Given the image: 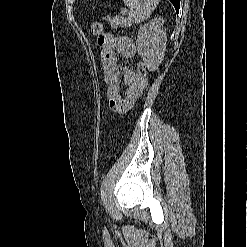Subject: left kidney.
Masks as SVG:
<instances>
[{"label": "left kidney", "instance_id": "obj_1", "mask_svg": "<svg viewBox=\"0 0 248 247\" xmlns=\"http://www.w3.org/2000/svg\"><path fill=\"white\" fill-rule=\"evenodd\" d=\"M163 25V18L156 17L138 31L137 51L151 71H155L164 59L167 36Z\"/></svg>", "mask_w": 248, "mask_h": 247}]
</instances>
